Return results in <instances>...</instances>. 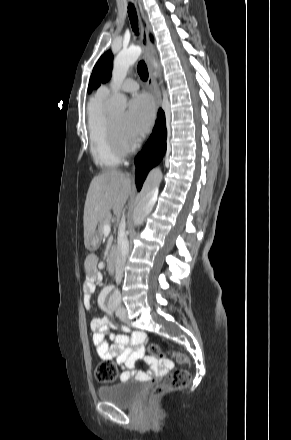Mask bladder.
<instances>
[{"mask_svg": "<svg viewBox=\"0 0 291 440\" xmlns=\"http://www.w3.org/2000/svg\"><path fill=\"white\" fill-rule=\"evenodd\" d=\"M140 393L141 389L135 382L130 380L103 386L97 390L99 399L118 406L131 405L139 397Z\"/></svg>", "mask_w": 291, "mask_h": 440, "instance_id": "1", "label": "bladder"}]
</instances>
